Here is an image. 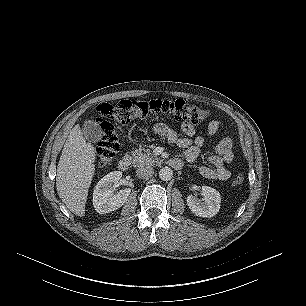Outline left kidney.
<instances>
[{
    "label": "left kidney",
    "instance_id": "left-kidney-1",
    "mask_svg": "<svg viewBox=\"0 0 306 306\" xmlns=\"http://www.w3.org/2000/svg\"><path fill=\"white\" fill-rule=\"evenodd\" d=\"M204 198L202 200L195 196L187 197V205L189 209L199 217L211 218L219 212L221 197L220 193L209 186H202Z\"/></svg>",
    "mask_w": 306,
    "mask_h": 306
}]
</instances>
